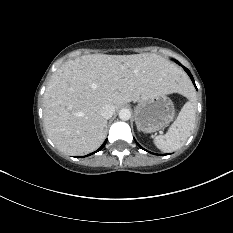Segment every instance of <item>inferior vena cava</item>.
Returning <instances> with one entry per match:
<instances>
[{
  "label": "inferior vena cava",
  "instance_id": "1",
  "mask_svg": "<svg viewBox=\"0 0 233 233\" xmlns=\"http://www.w3.org/2000/svg\"><path fill=\"white\" fill-rule=\"evenodd\" d=\"M114 113L115 106L112 104H106L100 110V114L104 119H110Z\"/></svg>",
  "mask_w": 233,
  "mask_h": 233
}]
</instances>
